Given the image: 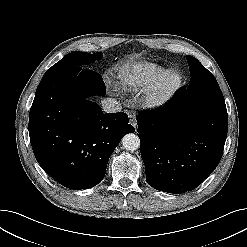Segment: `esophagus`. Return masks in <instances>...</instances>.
Listing matches in <instances>:
<instances>
[{
    "instance_id": "obj_1",
    "label": "esophagus",
    "mask_w": 247,
    "mask_h": 247,
    "mask_svg": "<svg viewBox=\"0 0 247 247\" xmlns=\"http://www.w3.org/2000/svg\"><path fill=\"white\" fill-rule=\"evenodd\" d=\"M128 116H129V120H130V124L134 126V128H136L137 124H136V114L133 111H129L128 112Z\"/></svg>"
}]
</instances>
